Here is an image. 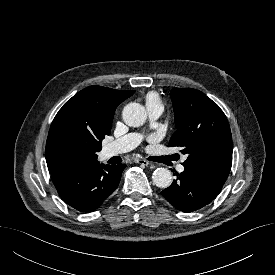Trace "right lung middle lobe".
I'll return each mask as SVG.
<instances>
[{"label": "right lung middle lobe", "mask_w": 275, "mask_h": 275, "mask_svg": "<svg viewBox=\"0 0 275 275\" xmlns=\"http://www.w3.org/2000/svg\"><path fill=\"white\" fill-rule=\"evenodd\" d=\"M101 146H91L85 142L68 139L65 140L59 147L61 158L69 163H78L93 153L99 152Z\"/></svg>", "instance_id": "dd1d6c3e"}]
</instances>
